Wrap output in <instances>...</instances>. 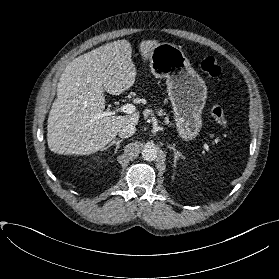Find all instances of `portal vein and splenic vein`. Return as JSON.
Segmentation results:
<instances>
[{"label":"portal vein and splenic vein","instance_id":"18ae733b","mask_svg":"<svg viewBox=\"0 0 279 279\" xmlns=\"http://www.w3.org/2000/svg\"><path fill=\"white\" fill-rule=\"evenodd\" d=\"M136 110V107L131 104V103H127L121 107H117L115 110L113 111H106L103 112V114L99 115V117H103V116H111V115H115L118 112H123V113H127V114H132L134 113Z\"/></svg>","mask_w":279,"mask_h":279}]
</instances>
